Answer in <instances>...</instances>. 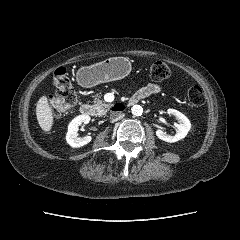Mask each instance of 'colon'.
<instances>
[{
  "instance_id": "colon-1",
  "label": "colon",
  "mask_w": 240,
  "mask_h": 240,
  "mask_svg": "<svg viewBox=\"0 0 240 240\" xmlns=\"http://www.w3.org/2000/svg\"><path fill=\"white\" fill-rule=\"evenodd\" d=\"M171 70L169 66L161 61H157L151 65L150 77L156 81H162L169 78ZM53 86L55 95L50 97L49 103L54 116L61 114L72 108L77 102V95L71 83L68 71L64 67H59L53 75ZM188 101L197 107H201L205 103V94L198 85L190 87L187 91Z\"/></svg>"
}]
</instances>
